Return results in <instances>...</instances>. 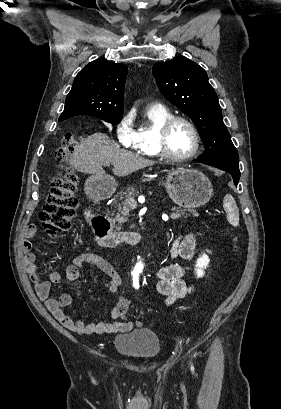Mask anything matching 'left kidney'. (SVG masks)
Masks as SVG:
<instances>
[{
	"mask_svg": "<svg viewBox=\"0 0 281 409\" xmlns=\"http://www.w3.org/2000/svg\"><path fill=\"white\" fill-rule=\"evenodd\" d=\"M208 253H210V251H208ZM210 259L208 257V255H205V253H203V255H200L199 259H197L196 261V269H195V273L198 277V279H200V277H203L204 275V269H206V267H208V263H209Z\"/></svg>",
	"mask_w": 281,
	"mask_h": 409,
	"instance_id": "left-kidney-1",
	"label": "left kidney"
}]
</instances>
